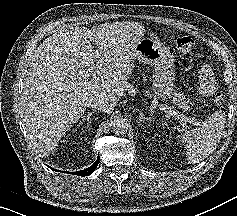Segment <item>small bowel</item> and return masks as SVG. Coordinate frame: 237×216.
Listing matches in <instances>:
<instances>
[{
    "label": "small bowel",
    "mask_w": 237,
    "mask_h": 216,
    "mask_svg": "<svg viewBox=\"0 0 237 216\" xmlns=\"http://www.w3.org/2000/svg\"><path fill=\"white\" fill-rule=\"evenodd\" d=\"M211 70L208 66H204L201 69L202 84L200 91L204 95H210L213 91V83L211 81Z\"/></svg>",
    "instance_id": "c3829d8e"
}]
</instances>
